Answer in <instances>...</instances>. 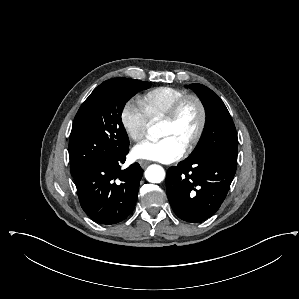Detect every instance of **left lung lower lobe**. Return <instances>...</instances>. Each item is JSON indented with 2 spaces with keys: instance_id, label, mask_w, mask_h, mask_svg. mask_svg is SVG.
<instances>
[{
  "instance_id": "left-lung-lower-lobe-1",
  "label": "left lung lower lobe",
  "mask_w": 299,
  "mask_h": 299,
  "mask_svg": "<svg viewBox=\"0 0 299 299\" xmlns=\"http://www.w3.org/2000/svg\"><path fill=\"white\" fill-rule=\"evenodd\" d=\"M235 172L236 162L218 155L169 168L166 187L173 211L185 221H205L224 201Z\"/></svg>"
}]
</instances>
